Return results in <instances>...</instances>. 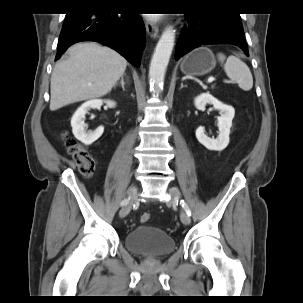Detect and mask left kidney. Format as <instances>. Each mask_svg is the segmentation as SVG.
Listing matches in <instances>:
<instances>
[{
	"instance_id": "5707ae66",
	"label": "left kidney",
	"mask_w": 303,
	"mask_h": 303,
	"mask_svg": "<svg viewBox=\"0 0 303 303\" xmlns=\"http://www.w3.org/2000/svg\"><path fill=\"white\" fill-rule=\"evenodd\" d=\"M194 104L197 109H203L207 104H211L215 109L220 111V117H218V137L216 139L208 137L205 134L204 128L200 126L196 130V138L208 150H224L229 144L230 128L235 115L234 108L220 102L209 93H202L197 96L194 100Z\"/></svg>"
}]
</instances>
